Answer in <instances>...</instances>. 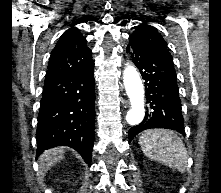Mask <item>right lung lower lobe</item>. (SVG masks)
Segmentation results:
<instances>
[{"label": "right lung lower lobe", "mask_w": 221, "mask_h": 193, "mask_svg": "<svg viewBox=\"0 0 221 193\" xmlns=\"http://www.w3.org/2000/svg\"><path fill=\"white\" fill-rule=\"evenodd\" d=\"M94 62L84 69L45 80L36 130L37 156L64 145L80 153L88 165L94 142Z\"/></svg>", "instance_id": "1"}]
</instances>
